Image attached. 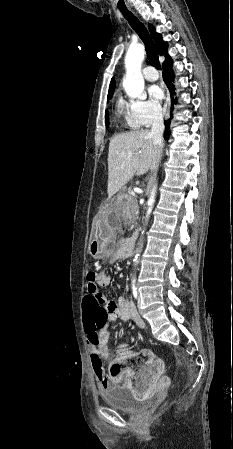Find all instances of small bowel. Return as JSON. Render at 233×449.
<instances>
[{
  "label": "small bowel",
  "mask_w": 233,
  "mask_h": 449,
  "mask_svg": "<svg viewBox=\"0 0 233 449\" xmlns=\"http://www.w3.org/2000/svg\"><path fill=\"white\" fill-rule=\"evenodd\" d=\"M126 252L123 247L114 255L113 260L124 258ZM87 290L94 296L95 302H100L102 308H106V328H84L90 350V360L94 374L102 389H107L115 383L129 381V389L134 391L135 399H149L150 394H158L157 377L164 376L162 363H153L154 355L150 350H133L123 347L106 371L103 361L108 355L109 331L108 325L117 319L132 320L137 326L142 327L143 321L137 316L133 302L123 294L118 300L109 301L103 296V289L111 282V277L104 270H88L86 277ZM83 321V320H82ZM138 359L140 367L138 375H133L131 368L126 367L128 361Z\"/></svg>",
  "instance_id": "obj_1"
}]
</instances>
